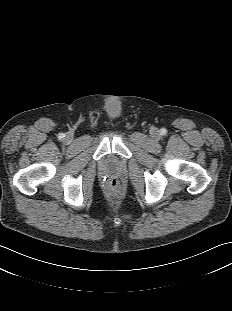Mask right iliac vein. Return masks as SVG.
I'll list each match as a JSON object with an SVG mask.
<instances>
[{"instance_id":"right-iliac-vein-1","label":"right iliac vein","mask_w":232,"mask_h":311,"mask_svg":"<svg viewBox=\"0 0 232 311\" xmlns=\"http://www.w3.org/2000/svg\"><path fill=\"white\" fill-rule=\"evenodd\" d=\"M64 140L66 142H70L72 140V136L70 134H68V135L65 136Z\"/></svg>"}]
</instances>
